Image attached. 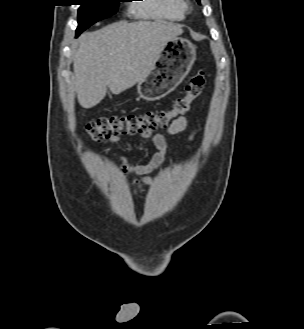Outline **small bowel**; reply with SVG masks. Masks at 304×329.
I'll use <instances>...</instances> for the list:
<instances>
[{
	"label": "small bowel",
	"instance_id": "small-bowel-1",
	"mask_svg": "<svg viewBox=\"0 0 304 329\" xmlns=\"http://www.w3.org/2000/svg\"><path fill=\"white\" fill-rule=\"evenodd\" d=\"M189 127V122L185 116L176 117L165 129V133H155L143 135L152 141L155 153L151 161L146 165H131L126 159L121 158V174L126 177H131L132 185L140 192L144 191L145 186L150 183L149 174L166 162L167 142L166 136L177 135ZM198 133L197 127H193L188 135V141L191 142ZM121 140L120 136H111L107 138L108 143H116ZM191 148L190 146H188Z\"/></svg>",
	"mask_w": 304,
	"mask_h": 329
}]
</instances>
